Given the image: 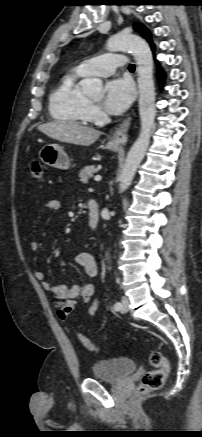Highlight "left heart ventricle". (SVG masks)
Returning a JSON list of instances; mask_svg holds the SVG:
<instances>
[{
  "label": "left heart ventricle",
  "instance_id": "obj_1",
  "mask_svg": "<svg viewBox=\"0 0 202 437\" xmlns=\"http://www.w3.org/2000/svg\"><path fill=\"white\" fill-rule=\"evenodd\" d=\"M99 100H100V98H95V99H94V101H99Z\"/></svg>",
  "mask_w": 202,
  "mask_h": 437
}]
</instances>
